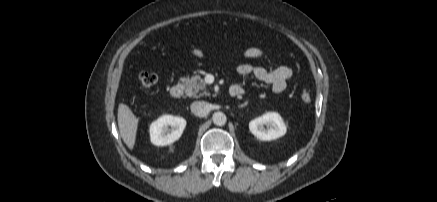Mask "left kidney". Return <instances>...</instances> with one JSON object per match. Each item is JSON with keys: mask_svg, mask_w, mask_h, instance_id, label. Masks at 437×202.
Segmentation results:
<instances>
[{"mask_svg": "<svg viewBox=\"0 0 437 202\" xmlns=\"http://www.w3.org/2000/svg\"><path fill=\"white\" fill-rule=\"evenodd\" d=\"M249 130L258 139L270 141L285 135L287 129L278 113L268 112L250 121Z\"/></svg>", "mask_w": 437, "mask_h": 202, "instance_id": "1", "label": "left kidney"}]
</instances>
